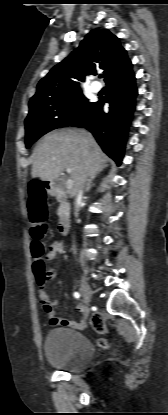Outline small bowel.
<instances>
[{"label":"small bowel","instance_id":"small-bowel-1","mask_svg":"<svg viewBox=\"0 0 168 415\" xmlns=\"http://www.w3.org/2000/svg\"><path fill=\"white\" fill-rule=\"evenodd\" d=\"M64 249V244L60 240H55L48 249L47 258L49 260L53 259L56 255L61 254ZM56 277V274L51 271L49 272V279H54ZM39 296L41 303L43 305V310L48 315L49 322L52 326H61V327H72L75 329H82L86 325L85 319L81 318L79 320H68L66 318H62L57 316L54 306L57 304L56 300H51L44 287L40 288ZM77 311L83 312L84 308L81 304H78L76 307Z\"/></svg>","mask_w":168,"mask_h":415}]
</instances>
